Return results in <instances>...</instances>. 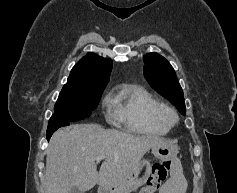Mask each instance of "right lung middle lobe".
<instances>
[{
  "mask_svg": "<svg viewBox=\"0 0 237 193\" xmlns=\"http://www.w3.org/2000/svg\"><path fill=\"white\" fill-rule=\"evenodd\" d=\"M104 88L64 85L55 104L53 117L66 121L89 117L96 109Z\"/></svg>",
  "mask_w": 237,
  "mask_h": 193,
  "instance_id": "obj_1",
  "label": "right lung middle lobe"
}]
</instances>
